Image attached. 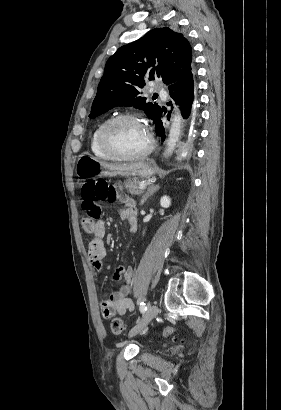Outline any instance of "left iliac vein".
<instances>
[{"label": "left iliac vein", "instance_id": "4c4485c4", "mask_svg": "<svg viewBox=\"0 0 281 410\" xmlns=\"http://www.w3.org/2000/svg\"><path fill=\"white\" fill-rule=\"evenodd\" d=\"M157 313H158V307L156 305L149 304L144 317L135 327H133L130 330L128 336L133 337L136 334H138L140 331H142L150 323V321L157 315Z\"/></svg>", "mask_w": 281, "mask_h": 410}]
</instances>
